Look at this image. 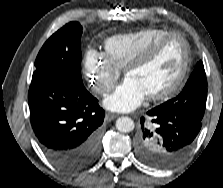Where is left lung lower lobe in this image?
<instances>
[{
    "label": "left lung lower lobe",
    "mask_w": 223,
    "mask_h": 188,
    "mask_svg": "<svg viewBox=\"0 0 223 188\" xmlns=\"http://www.w3.org/2000/svg\"><path fill=\"white\" fill-rule=\"evenodd\" d=\"M154 129L143 125L136 137L138 157L154 167H170L180 162L190 151L201 129V121L170 115L155 107L147 112Z\"/></svg>",
    "instance_id": "0a47b994"
}]
</instances>
